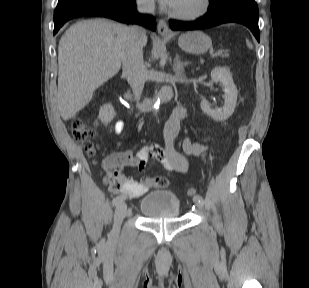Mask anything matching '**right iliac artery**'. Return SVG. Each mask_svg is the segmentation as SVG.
Segmentation results:
<instances>
[{"label":"right iliac artery","mask_w":309,"mask_h":288,"mask_svg":"<svg viewBox=\"0 0 309 288\" xmlns=\"http://www.w3.org/2000/svg\"><path fill=\"white\" fill-rule=\"evenodd\" d=\"M121 199H122V200H125V199H126V196H125V193H124V192H121L120 195L116 196V197L113 199V205H117Z\"/></svg>","instance_id":"obj_1"}]
</instances>
